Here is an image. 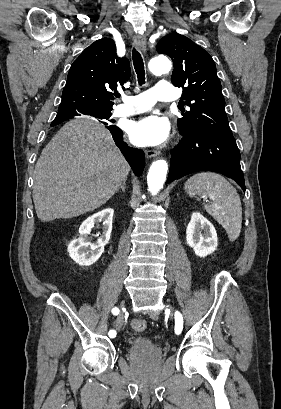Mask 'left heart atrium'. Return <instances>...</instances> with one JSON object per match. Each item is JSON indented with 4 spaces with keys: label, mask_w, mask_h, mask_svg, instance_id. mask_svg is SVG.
<instances>
[{
    "label": "left heart atrium",
    "mask_w": 281,
    "mask_h": 409,
    "mask_svg": "<svg viewBox=\"0 0 281 409\" xmlns=\"http://www.w3.org/2000/svg\"><path fill=\"white\" fill-rule=\"evenodd\" d=\"M170 134L166 119L157 115H144L132 123L130 137L134 144L142 147H154L164 144Z\"/></svg>",
    "instance_id": "obj_1"
}]
</instances>
